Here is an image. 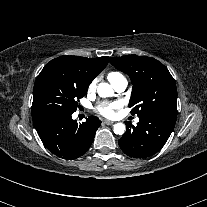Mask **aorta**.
I'll return each instance as SVG.
<instances>
[{
	"mask_svg": "<svg viewBox=\"0 0 207 207\" xmlns=\"http://www.w3.org/2000/svg\"><path fill=\"white\" fill-rule=\"evenodd\" d=\"M97 93L100 97H109L114 94L111 85L105 82L98 85ZM113 131L117 135H122L125 131V125L123 123H116L113 125Z\"/></svg>",
	"mask_w": 207,
	"mask_h": 207,
	"instance_id": "762f6f07",
	"label": "aorta"
}]
</instances>
